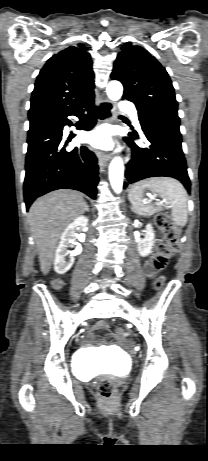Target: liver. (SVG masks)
Returning a JSON list of instances; mask_svg holds the SVG:
<instances>
[{"label": "liver", "mask_w": 208, "mask_h": 461, "mask_svg": "<svg viewBox=\"0 0 208 461\" xmlns=\"http://www.w3.org/2000/svg\"><path fill=\"white\" fill-rule=\"evenodd\" d=\"M81 193L61 189L38 198L30 207L28 218L35 240L41 272L51 269L54 252L65 227L85 212Z\"/></svg>", "instance_id": "liver-1"}]
</instances>
